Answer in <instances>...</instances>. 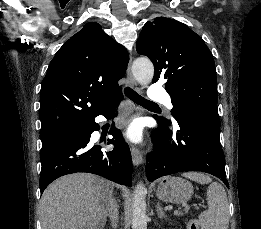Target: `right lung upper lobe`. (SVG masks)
I'll list each match as a JSON object with an SVG mask.
<instances>
[{"instance_id":"1","label":"right lung upper lobe","mask_w":261,"mask_h":229,"mask_svg":"<svg viewBox=\"0 0 261 229\" xmlns=\"http://www.w3.org/2000/svg\"><path fill=\"white\" fill-rule=\"evenodd\" d=\"M126 49L88 23L56 53L40 91L41 132L54 130L58 140L87 127L120 95L127 68Z\"/></svg>"}]
</instances>
